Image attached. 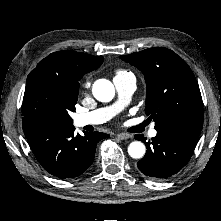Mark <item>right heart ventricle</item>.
<instances>
[{"label": "right heart ventricle", "mask_w": 221, "mask_h": 221, "mask_svg": "<svg viewBox=\"0 0 221 221\" xmlns=\"http://www.w3.org/2000/svg\"><path fill=\"white\" fill-rule=\"evenodd\" d=\"M129 74H131V73L126 71V70H117L115 72V77L114 78L124 77V76L129 75Z\"/></svg>", "instance_id": "obj_1"}]
</instances>
